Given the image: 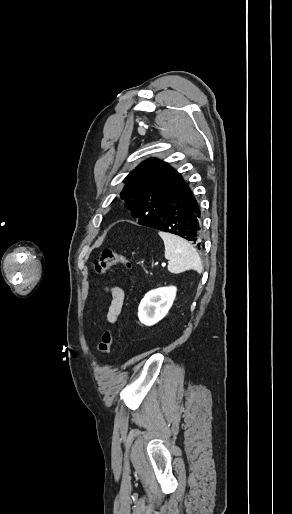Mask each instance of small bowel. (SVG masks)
Instances as JSON below:
<instances>
[{"mask_svg":"<svg viewBox=\"0 0 292 514\" xmlns=\"http://www.w3.org/2000/svg\"><path fill=\"white\" fill-rule=\"evenodd\" d=\"M105 291L109 292L111 295V301L108 306L106 319H107L108 323L114 324V323H116V321L118 320V318L122 312V308H123V304H124V300H125V293H124L123 289H121L120 287H116V286H107V287H105Z\"/></svg>","mask_w":292,"mask_h":514,"instance_id":"small-bowel-1","label":"small bowel"}]
</instances>
